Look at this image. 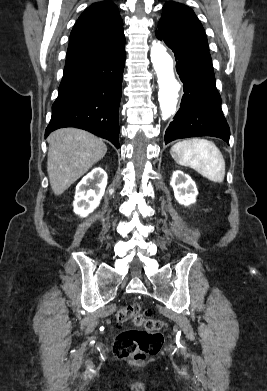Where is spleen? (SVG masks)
I'll return each mask as SVG.
<instances>
[{
    "instance_id": "obj_1",
    "label": "spleen",
    "mask_w": 267,
    "mask_h": 391,
    "mask_svg": "<svg viewBox=\"0 0 267 391\" xmlns=\"http://www.w3.org/2000/svg\"><path fill=\"white\" fill-rule=\"evenodd\" d=\"M170 154L179 165L191 167L212 182H223L225 161L213 142L201 138L183 140L171 147Z\"/></svg>"
}]
</instances>
